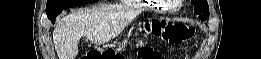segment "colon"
Masks as SVG:
<instances>
[{"label": "colon", "mask_w": 261, "mask_h": 59, "mask_svg": "<svg viewBox=\"0 0 261 59\" xmlns=\"http://www.w3.org/2000/svg\"><path fill=\"white\" fill-rule=\"evenodd\" d=\"M144 31L154 37H160L170 44H181L190 40L194 35L192 27L169 22L161 19H152L144 26ZM118 55L113 49L97 50L89 49L81 59H118ZM139 59H161L162 53L152 46L141 44L138 50Z\"/></svg>", "instance_id": "obj_1"}]
</instances>
